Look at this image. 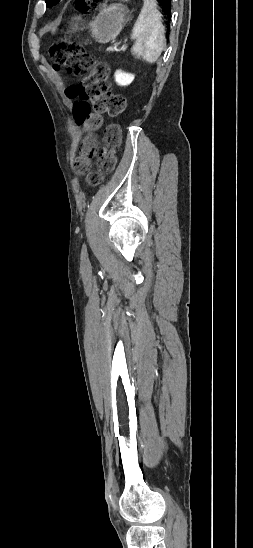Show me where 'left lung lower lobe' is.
Segmentation results:
<instances>
[{
    "instance_id": "obj_1",
    "label": "left lung lower lobe",
    "mask_w": 253,
    "mask_h": 548,
    "mask_svg": "<svg viewBox=\"0 0 253 548\" xmlns=\"http://www.w3.org/2000/svg\"><path fill=\"white\" fill-rule=\"evenodd\" d=\"M159 3V6L162 8L163 12L169 19L171 17V7H172V0H157Z\"/></svg>"
}]
</instances>
